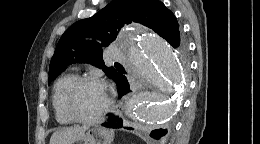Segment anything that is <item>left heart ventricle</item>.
Wrapping results in <instances>:
<instances>
[{
	"instance_id": "left-heart-ventricle-1",
	"label": "left heart ventricle",
	"mask_w": 260,
	"mask_h": 144,
	"mask_svg": "<svg viewBox=\"0 0 260 144\" xmlns=\"http://www.w3.org/2000/svg\"><path fill=\"white\" fill-rule=\"evenodd\" d=\"M105 104L106 93L103 87L95 83H88L77 92L73 107L79 116L90 118L99 114Z\"/></svg>"
}]
</instances>
